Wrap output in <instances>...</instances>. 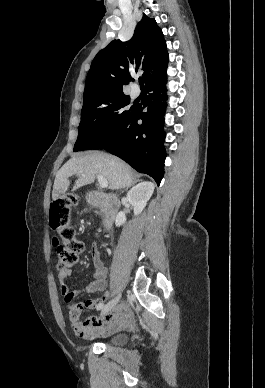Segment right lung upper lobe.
Listing matches in <instances>:
<instances>
[{"instance_id":"cb5924a9","label":"right lung upper lobe","mask_w":265,"mask_h":388,"mask_svg":"<svg viewBox=\"0 0 265 388\" xmlns=\"http://www.w3.org/2000/svg\"><path fill=\"white\" fill-rule=\"evenodd\" d=\"M168 53L162 30L143 14L133 37L113 40L95 56L86 78L83 98L104 90H122L132 81L131 71H144L146 85L166 74Z\"/></svg>"}]
</instances>
